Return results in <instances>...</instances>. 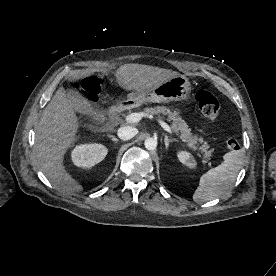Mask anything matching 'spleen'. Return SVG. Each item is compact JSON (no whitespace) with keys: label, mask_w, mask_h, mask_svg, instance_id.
Instances as JSON below:
<instances>
[{"label":"spleen","mask_w":276,"mask_h":276,"mask_svg":"<svg viewBox=\"0 0 276 276\" xmlns=\"http://www.w3.org/2000/svg\"><path fill=\"white\" fill-rule=\"evenodd\" d=\"M224 161L216 168L204 173L199 180V186L193 194V200L203 203L224 194L234 183L243 163L241 150H232L223 156Z\"/></svg>","instance_id":"3e777b00"}]
</instances>
